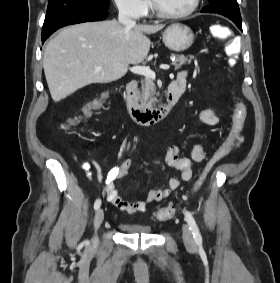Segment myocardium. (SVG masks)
<instances>
[{"instance_id": "myocardium-1", "label": "myocardium", "mask_w": 280, "mask_h": 283, "mask_svg": "<svg viewBox=\"0 0 280 283\" xmlns=\"http://www.w3.org/2000/svg\"><path fill=\"white\" fill-rule=\"evenodd\" d=\"M200 0H193L190 8L182 13L170 14L162 11L156 4L155 0H151L152 10L155 15L164 20H180L192 15L199 7Z\"/></svg>"}]
</instances>
